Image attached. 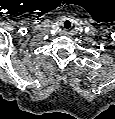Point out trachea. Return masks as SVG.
Instances as JSON below:
<instances>
[{"mask_svg": "<svg viewBox=\"0 0 115 119\" xmlns=\"http://www.w3.org/2000/svg\"><path fill=\"white\" fill-rule=\"evenodd\" d=\"M62 27H63L64 29H69V28L71 27V22H70L69 20H64V21L62 22Z\"/></svg>", "mask_w": 115, "mask_h": 119, "instance_id": "trachea-1", "label": "trachea"}]
</instances>
